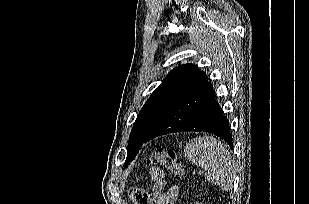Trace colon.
I'll return each instance as SVG.
<instances>
[{"instance_id":"5ec220e1","label":"colon","mask_w":309,"mask_h":204,"mask_svg":"<svg viewBox=\"0 0 309 204\" xmlns=\"http://www.w3.org/2000/svg\"><path fill=\"white\" fill-rule=\"evenodd\" d=\"M145 162L147 165H161L169 169L178 180L184 177V170L181 166V162L176 152L172 149L157 148L146 158ZM136 202L137 204H147L148 198L139 195Z\"/></svg>"}]
</instances>
